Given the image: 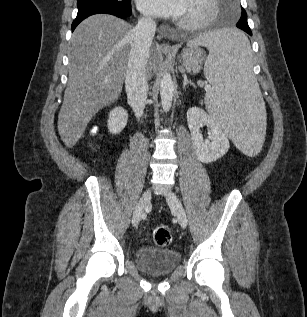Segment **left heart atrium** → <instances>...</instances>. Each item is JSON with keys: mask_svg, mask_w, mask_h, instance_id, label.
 Returning a JSON list of instances; mask_svg holds the SVG:
<instances>
[{"mask_svg": "<svg viewBox=\"0 0 307 317\" xmlns=\"http://www.w3.org/2000/svg\"><path fill=\"white\" fill-rule=\"evenodd\" d=\"M189 0H137L138 8L155 17H181Z\"/></svg>", "mask_w": 307, "mask_h": 317, "instance_id": "39dd6f15", "label": "left heart atrium"}]
</instances>
